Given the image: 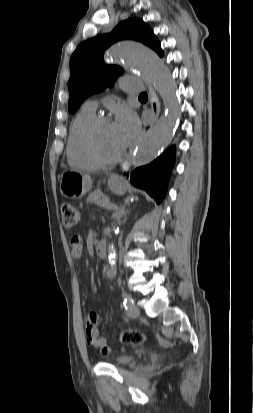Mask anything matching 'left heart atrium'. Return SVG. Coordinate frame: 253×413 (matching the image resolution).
Instances as JSON below:
<instances>
[{"instance_id": "39dd6f15", "label": "left heart atrium", "mask_w": 253, "mask_h": 413, "mask_svg": "<svg viewBox=\"0 0 253 413\" xmlns=\"http://www.w3.org/2000/svg\"><path fill=\"white\" fill-rule=\"evenodd\" d=\"M112 125L122 148H125L139 131V122L136 115L127 108L118 111Z\"/></svg>"}]
</instances>
